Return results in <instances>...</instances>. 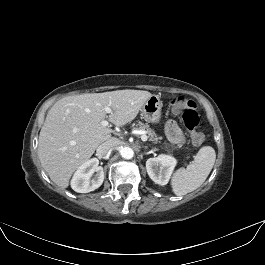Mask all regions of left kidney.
<instances>
[{
  "mask_svg": "<svg viewBox=\"0 0 265 265\" xmlns=\"http://www.w3.org/2000/svg\"><path fill=\"white\" fill-rule=\"evenodd\" d=\"M176 163L177 161L174 157L161 154L146 161V170L153 182L159 185H166L171 178Z\"/></svg>",
  "mask_w": 265,
  "mask_h": 265,
  "instance_id": "left-kidney-1",
  "label": "left kidney"
}]
</instances>
